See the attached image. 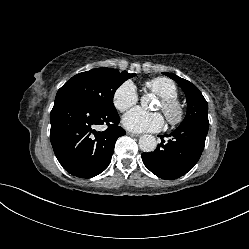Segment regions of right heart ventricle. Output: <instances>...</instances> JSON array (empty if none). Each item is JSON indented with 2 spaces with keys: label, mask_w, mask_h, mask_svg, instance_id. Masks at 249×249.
I'll return each instance as SVG.
<instances>
[{
  "label": "right heart ventricle",
  "mask_w": 249,
  "mask_h": 249,
  "mask_svg": "<svg viewBox=\"0 0 249 249\" xmlns=\"http://www.w3.org/2000/svg\"><path fill=\"white\" fill-rule=\"evenodd\" d=\"M145 87L160 98L177 99L178 97L176 84L166 77H155L147 80Z\"/></svg>",
  "instance_id": "right-heart-ventricle-1"
}]
</instances>
